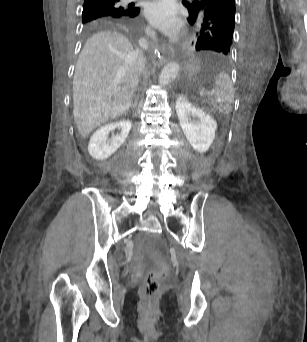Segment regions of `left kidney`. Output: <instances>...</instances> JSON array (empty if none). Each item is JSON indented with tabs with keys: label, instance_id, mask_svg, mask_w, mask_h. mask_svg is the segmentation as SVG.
Listing matches in <instances>:
<instances>
[{
	"label": "left kidney",
	"instance_id": "1",
	"mask_svg": "<svg viewBox=\"0 0 307 342\" xmlns=\"http://www.w3.org/2000/svg\"><path fill=\"white\" fill-rule=\"evenodd\" d=\"M175 108L179 124L190 146L200 154L207 152L215 138V120L204 110L190 104L185 96H178Z\"/></svg>",
	"mask_w": 307,
	"mask_h": 342
}]
</instances>
